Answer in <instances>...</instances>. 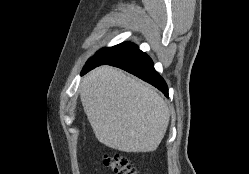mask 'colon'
<instances>
[{
  "label": "colon",
  "instance_id": "obj_1",
  "mask_svg": "<svg viewBox=\"0 0 249 174\" xmlns=\"http://www.w3.org/2000/svg\"><path fill=\"white\" fill-rule=\"evenodd\" d=\"M103 162L113 174H138L136 168L120 153L105 154Z\"/></svg>",
  "mask_w": 249,
  "mask_h": 174
}]
</instances>
